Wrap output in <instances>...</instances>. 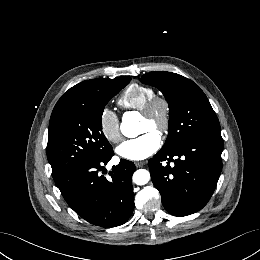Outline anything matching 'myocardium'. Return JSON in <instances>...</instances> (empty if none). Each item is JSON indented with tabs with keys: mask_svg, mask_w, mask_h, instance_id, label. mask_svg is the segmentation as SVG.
I'll return each mask as SVG.
<instances>
[{
	"mask_svg": "<svg viewBox=\"0 0 260 260\" xmlns=\"http://www.w3.org/2000/svg\"><path fill=\"white\" fill-rule=\"evenodd\" d=\"M158 108L161 109V117L157 122L155 121V115ZM141 113L152 122L155 131L161 135L168 133L171 124V105L165 96H152L141 109Z\"/></svg>",
	"mask_w": 260,
	"mask_h": 260,
	"instance_id": "myocardium-1",
	"label": "myocardium"
}]
</instances>
